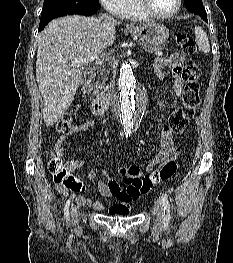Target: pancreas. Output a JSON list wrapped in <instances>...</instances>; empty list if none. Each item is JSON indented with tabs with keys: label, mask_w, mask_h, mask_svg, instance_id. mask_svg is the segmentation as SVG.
<instances>
[{
	"label": "pancreas",
	"mask_w": 233,
	"mask_h": 263,
	"mask_svg": "<svg viewBox=\"0 0 233 263\" xmlns=\"http://www.w3.org/2000/svg\"><path fill=\"white\" fill-rule=\"evenodd\" d=\"M138 45L141 47L145 48L147 51L152 52V51H160L162 50V46L159 47H153L151 45H147L144 41H138ZM99 78L98 80L94 83L92 86V94L93 96L98 99V100H104L106 97V92H107V85L106 82L108 80V74L109 70H106L105 68H102L99 70Z\"/></svg>",
	"instance_id": "pancreas-1"
}]
</instances>
